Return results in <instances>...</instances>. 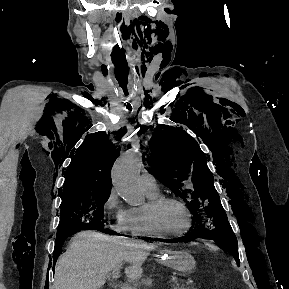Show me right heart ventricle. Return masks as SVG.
<instances>
[{
    "label": "right heart ventricle",
    "instance_id": "obj_1",
    "mask_svg": "<svg viewBox=\"0 0 289 289\" xmlns=\"http://www.w3.org/2000/svg\"><path fill=\"white\" fill-rule=\"evenodd\" d=\"M146 195L148 199H150V198H154L158 196V193L151 194V193L146 192ZM129 216H130V229L129 230L132 235L142 236V237H155V238L161 237V236L156 235L149 229L146 223V220L143 216L142 208L129 209Z\"/></svg>",
    "mask_w": 289,
    "mask_h": 289
}]
</instances>
